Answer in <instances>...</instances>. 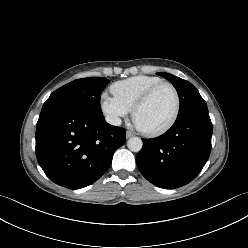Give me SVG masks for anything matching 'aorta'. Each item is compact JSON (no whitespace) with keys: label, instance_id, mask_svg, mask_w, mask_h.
<instances>
[{"label":"aorta","instance_id":"762f6f07","mask_svg":"<svg viewBox=\"0 0 248 248\" xmlns=\"http://www.w3.org/2000/svg\"><path fill=\"white\" fill-rule=\"evenodd\" d=\"M127 146L132 152H139L142 149L143 142L139 137H131L127 142Z\"/></svg>","mask_w":248,"mask_h":248}]
</instances>
